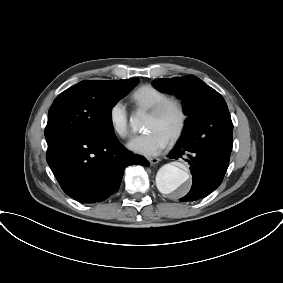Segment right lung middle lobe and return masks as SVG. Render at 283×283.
Here are the masks:
<instances>
[{
	"label": "right lung middle lobe",
	"instance_id": "obj_1",
	"mask_svg": "<svg viewBox=\"0 0 283 283\" xmlns=\"http://www.w3.org/2000/svg\"><path fill=\"white\" fill-rule=\"evenodd\" d=\"M139 79L81 81L62 92L48 112L47 143L74 135L98 138L113 135L112 107Z\"/></svg>",
	"mask_w": 283,
	"mask_h": 283
}]
</instances>
